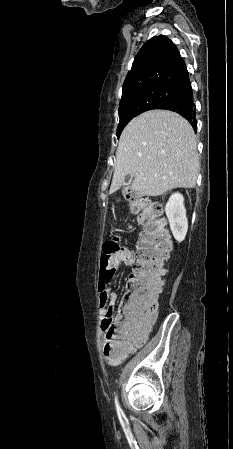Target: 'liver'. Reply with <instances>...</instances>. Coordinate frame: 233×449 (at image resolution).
<instances>
[{
	"label": "liver",
	"instance_id": "obj_1",
	"mask_svg": "<svg viewBox=\"0 0 233 449\" xmlns=\"http://www.w3.org/2000/svg\"><path fill=\"white\" fill-rule=\"evenodd\" d=\"M199 169L190 123L172 111H147L132 119L120 136L109 193L119 190L128 174L134 177L131 189L145 196L193 188Z\"/></svg>",
	"mask_w": 233,
	"mask_h": 449
}]
</instances>
